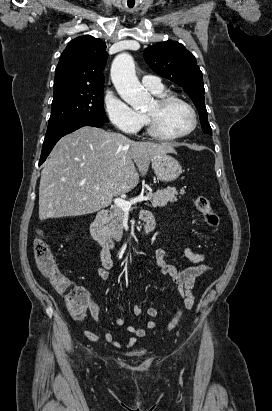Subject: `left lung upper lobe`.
Instances as JSON below:
<instances>
[{
	"label": "left lung upper lobe",
	"mask_w": 272,
	"mask_h": 411,
	"mask_svg": "<svg viewBox=\"0 0 272 411\" xmlns=\"http://www.w3.org/2000/svg\"><path fill=\"white\" fill-rule=\"evenodd\" d=\"M143 56L155 73L186 91L199 112L202 130L212 134L204 103L203 76L194 55L181 43L161 42L146 48Z\"/></svg>",
	"instance_id": "1"
}]
</instances>
